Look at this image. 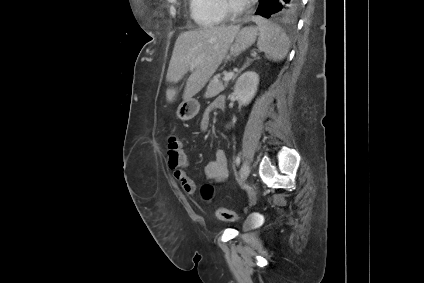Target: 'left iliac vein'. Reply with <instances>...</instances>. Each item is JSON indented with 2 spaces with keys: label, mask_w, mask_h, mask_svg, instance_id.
Returning a JSON list of instances; mask_svg holds the SVG:
<instances>
[{
  "label": "left iliac vein",
  "mask_w": 424,
  "mask_h": 283,
  "mask_svg": "<svg viewBox=\"0 0 424 283\" xmlns=\"http://www.w3.org/2000/svg\"><path fill=\"white\" fill-rule=\"evenodd\" d=\"M249 172H250V167H249L247 162H244L242 167H241V170H240V182L241 183H243L246 180V178L249 175Z\"/></svg>",
  "instance_id": "1"
}]
</instances>
